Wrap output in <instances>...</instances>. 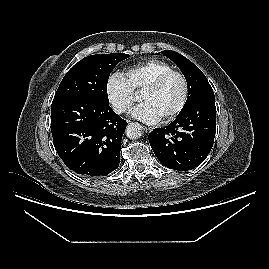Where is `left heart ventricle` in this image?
I'll list each match as a JSON object with an SVG mask.
<instances>
[{
	"label": "left heart ventricle",
	"mask_w": 269,
	"mask_h": 269,
	"mask_svg": "<svg viewBox=\"0 0 269 269\" xmlns=\"http://www.w3.org/2000/svg\"><path fill=\"white\" fill-rule=\"evenodd\" d=\"M183 94V82L179 76L175 75L170 77L159 90L143 92L141 100L150 103L161 119L179 105Z\"/></svg>",
	"instance_id": "1"
}]
</instances>
